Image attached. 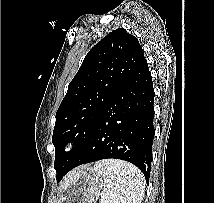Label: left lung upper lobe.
Listing matches in <instances>:
<instances>
[{
    "instance_id": "1",
    "label": "left lung upper lobe",
    "mask_w": 214,
    "mask_h": 203,
    "mask_svg": "<svg viewBox=\"0 0 214 203\" xmlns=\"http://www.w3.org/2000/svg\"><path fill=\"white\" fill-rule=\"evenodd\" d=\"M143 58L139 41L125 29L110 32L85 56L56 112L52 142L57 180L63 178L96 120ZM71 141L74 149L64 152Z\"/></svg>"
}]
</instances>
